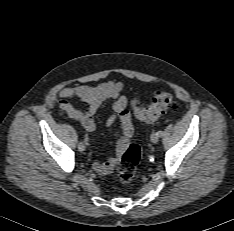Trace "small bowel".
<instances>
[{"instance_id": "1", "label": "small bowel", "mask_w": 234, "mask_h": 231, "mask_svg": "<svg viewBox=\"0 0 234 231\" xmlns=\"http://www.w3.org/2000/svg\"><path fill=\"white\" fill-rule=\"evenodd\" d=\"M123 84L121 82H105L96 86L80 85L76 87L63 88L59 96L62 99L59 107L70 118L81 123L85 130L89 133L95 129L94 115L106 99H114L113 110L107 119V125L114 124L117 119L122 123V134L118 139L116 146V155L110 157L105 162L94 161L93 169L100 175H108L112 172L113 167L117 163L119 157L125 151L130 139L133 136V126L130 117L126 112L127 99L123 95ZM79 99L86 103L88 108L84 111L75 108L68 100Z\"/></svg>"}]
</instances>
